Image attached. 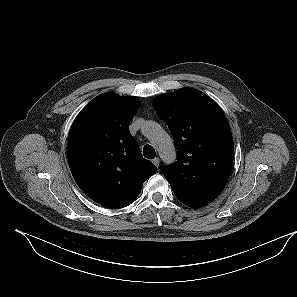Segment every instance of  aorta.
Instances as JSON below:
<instances>
[{
    "instance_id": "obj_1",
    "label": "aorta",
    "mask_w": 297,
    "mask_h": 297,
    "mask_svg": "<svg viewBox=\"0 0 297 297\" xmlns=\"http://www.w3.org/2000/svg\"><path fill=\"white\" fill-rule=\"evenodd\" d=\"M144 134L151 139L160 156L166 162H172L176 158L173 140L162 127L153 121H146L142 127Z\"/></svg>"
}]
</instances>
